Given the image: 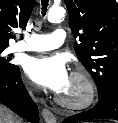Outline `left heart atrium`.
Here are the masks:
<instances>
[{
	"label": "left heart atrium",
	"instance_id": "1",
	"mask_svg": "<svg viewBox=\"0 0 118 123\" xmlns=\"http://www.w3.org/2000/svg\"><path fill=\"white\" fill-rule=\"evenodd\" d=\"M27 76L37 85L53 92H62L70 81L64 59L60 56H39L28 59Z\"/></svg>",
	"mask_w": 118,
	"mask_h": 123
}]
</instances>
